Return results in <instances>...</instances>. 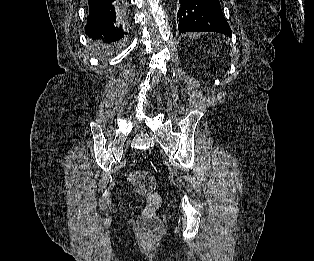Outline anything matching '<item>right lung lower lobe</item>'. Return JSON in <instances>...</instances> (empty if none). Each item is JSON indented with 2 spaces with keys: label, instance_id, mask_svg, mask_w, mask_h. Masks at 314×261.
<instances>
[{
  "label": "right lung lower lobe",
  "instance_id": "obj_1",
  "mask_svg": "<svg viewBox=\"0 0 314 261\" xmlns=\"http://www.w3.org/2000/svg\"><path fill=\"white\" fill-rule=\"evenodd\" d=\"M121 0H88L89 15L85 33L105 45H114L123 37L120 23Z\"/></svg>",
  "mask_w": 314,
  "mask_h": 261
}]
</instances>
